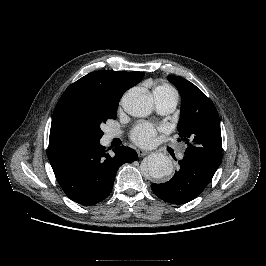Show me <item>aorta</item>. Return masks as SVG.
<instances>
[{
    "instance_id": "aorta-1",
    "label": "aorta",
    "mask_w": 266,
    "mask_h": 266,
    "mask_svg": "<svg viewBox=\"0 0 266 266\" xmlns=\"http://www.w3.org/2000/svg\"><path fill=\"white\" fill-rule=\"evenodd\" d=\"M124 110L134 117H145L153 109V97L136 89L127 91L122 97ZM142 171L155 179L169 176L173 171L172 161L162 153L148 155L146 162L142 165Z\"/></svg>"
}]
</instances>
